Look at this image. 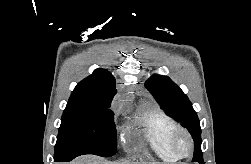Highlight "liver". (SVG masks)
I'll use <instances>...</instances> for the list:
<instances>
[{"label": "liver", "instance_id": "1", "mask_svg": "<svg viewBox=\"0 0 251 164\" xmlns=\"http://www.w3.org/2000/svg\"><path fill=\"white\" fill-rule=\"evenodd\" d=\"M70 164H130V163L107 162V161H104L100 157L87 155V156H82L75 159ZM133 164H139V163H133ZM152 164H155V163H152Z\"/></svg>", "mask_w": 251, "mask_h": 164}]
</instances>
